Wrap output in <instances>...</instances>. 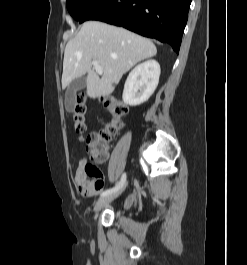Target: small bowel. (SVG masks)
I'll list each match as a JSON object with an SVG mask.
<instances>
[{"label":"small bowel","instance_id":"1","mask_svg":"<svg viewBox=\"0 0 247 265\" xmlns=\"http://www.w3.org/2000/svg\"><path fill=\"white\" fill-rule=\"evenodd\" d=\"M86 159L82 157L79 161V166L74 175V183L77 186L79 193L85 197H95L103 189L104 182L102 176L92 177L85 172ZM135 200L133 194L129 195L125 202L124 207H130Z\"/></svg>","mask_w":247,"mask_h":265}]
</instances>
